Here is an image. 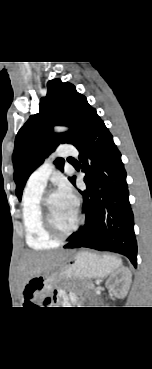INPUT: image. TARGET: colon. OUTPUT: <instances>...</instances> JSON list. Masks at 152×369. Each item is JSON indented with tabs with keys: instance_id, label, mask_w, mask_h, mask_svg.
Returning <instances> with one entry per match:
<instances>
[{
	"instance_id": "1",
	"label": "colon",
	"mask_w": 152,
	"mask_h": 369,
	"mask_svg": "<svg viewBox=\"0 0 152 369\" xmlns=\"http://www.w3.org/2000/svg\"><path fill=\"white\" fill-rule=\"evenodd\" d=\"M59 296H60L61 300L65 301V295L64 294H60Z\"/></svg>"
}]
</instances>
